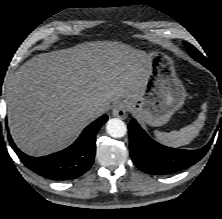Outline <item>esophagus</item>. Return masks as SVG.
<instances>
[{
  "label": "esophagus",
  "instance_id": "esophagus-1",
  "mask_svg": "<svg viewBox=\"0 0 222 219\" xmlns=\"http://www.w3.org/2000/svg\"><path fill=\"white\" fill-rule=\"evenodd\" d=\"M112 114L114 117L125 119L127 117V107L123 102L117 103L113 110Z\"/></svg>",
  "mask_w": 222,
  "mask_h": 219
}]
</instances>
